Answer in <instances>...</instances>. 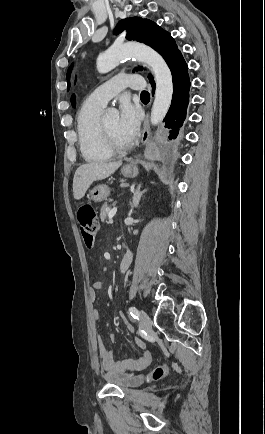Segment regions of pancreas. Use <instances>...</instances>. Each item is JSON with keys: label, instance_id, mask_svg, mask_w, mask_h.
<instances>
[{"label": "pancreas", "instance_id": "cf45deb5", "mask_svg": "<svg viewBox=\"0 0 265 434\" xmlns=\"http://www.w3.org/2000/svg\"><path fill=\"white\" fill-rule=\"evenodd\" d=\"M110 208H108V202H105L103 204L101 210H100V220L101 222H106L108 216H109Z\"/></svg>", "mask_w": 265, "mask_h": 434}]
</instances>
